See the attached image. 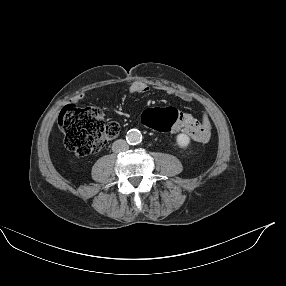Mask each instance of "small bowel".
Returning <instances> with one entry per match:
<instances>
[{
    "mask_svg": "<svg viewBox=\"0 0 286 286\" xmlns=\"http://www.w3.org/2000/svg\"><path fill=\"white\" fill-rule=\"evenodd\" d=\"M149 90L150 88L146 83L136 81L129 87V94H144ZM163 90L166 93L176 95L185 101H190L192 99V96L185 91L176 90L172 87H165ZM178 114V120L169 128V130H172L173 132H183L188 135L192 141L197 143H205L210 139L212 122L206 113L202 114L199 121L188 113L178 111Z\"/></svg>",
    "mask_w": 286,
    "mask_h": 286,
    "instance_id": "obj_1",
    "label": "small bowel"
}]
</instances>
